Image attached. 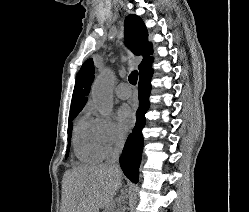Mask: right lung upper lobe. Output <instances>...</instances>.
Segmentation results:
<instances>
[{"mask_svg": "<svg viewBox=\"0 0 249 212\" xmlns=\"http://www.w3.org/2000/svg\"><path fill=\"white\" fill-rule=\"evenodd\" d=\"M125 40L126 45L135 55H143L144 59L139 65V71L152 62V45L148 42V32L143 21L136 15H129L125 19ZM94 64L92 59H88L82 65L75 83L72 96L71 110L83 109L87 102V96L94 79Z\"/></svg>", "mask_w": 249, "mask_h": 212, "instance_id": "cb5924a9", "label": "right lung upper lobe"}]
</instances>
